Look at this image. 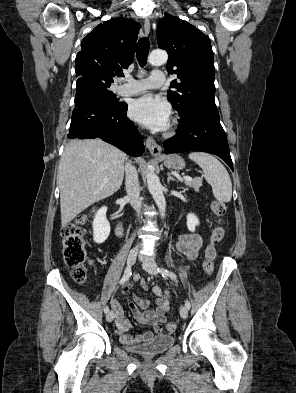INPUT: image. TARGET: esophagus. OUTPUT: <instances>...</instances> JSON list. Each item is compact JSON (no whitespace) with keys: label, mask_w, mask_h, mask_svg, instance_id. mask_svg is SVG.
<instances>
[{"label":"esophagus","mask_w":296,"mask_h":393,"mask_svg":"<svg viewBox=\"0 0 296 393\" xmlns=\"http://www.w3.org/2000/svg\"><path fill=\"white\" fill-rule=\"evenodd\" d=\"M144 32L145 35H149L150 33V21L147 18L144 20ZM146 147L148 148L149 152L154 156H158L161 154V146H159L152 137H148L146 139Z\"/></svg>","instance_id":"obj_1"}]
</instances>
